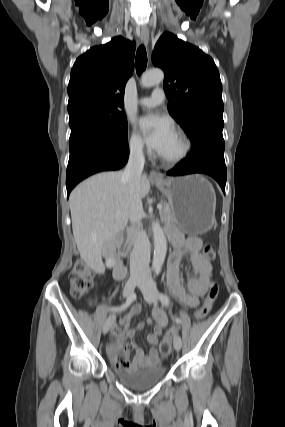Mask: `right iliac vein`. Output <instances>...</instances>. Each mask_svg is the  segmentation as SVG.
<instances>
[{"instance_id": "63e3f726", "label": "right iliac vein", "mask_w": 285, "mask_h": 427, "mask_svg": "<svg viewBox=\"0 0 285 427\" xmlns=\"http://www.w3.org/2000/svg\"><path fill=\"white\" fill-rule=\"evenodd\" d=\"M140 282H141V280H140V279H130V280H128V282H127V284H126V286H125V288H124L123 295H124L125 297L130 296V295L133 293V291H134L135 287H136L137 285H139V284H140ZM114 320H115V317H114V316H110V317L105 321V323H104V325H103V329H102L103 334H106V333L110 330V328H111V326H112V324H113Z\"/></svg>"}]
</instances>
